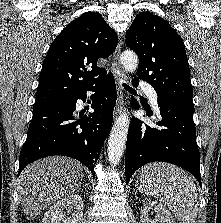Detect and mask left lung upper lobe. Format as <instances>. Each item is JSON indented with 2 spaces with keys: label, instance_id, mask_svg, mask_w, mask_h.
<instances>
[{
  "label": "left lung upper lobe",
  "instance_id": "5c2ea615",
  "mask_svg": "<svg viewBox=\"0 0 221 223\" xmlns=\"http://www.w3.org/2000/svg\"><path fill=\"white\" fill-rule=\"evenodd\" d=\"M126 45L139 57L135 81L150 83L158 97L193 107V89L182 38L163 18L141 12L126 33Z\"/></svg>",
  "mask_w": 221,
  "mask_h": 223
}]
</instances>
